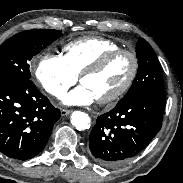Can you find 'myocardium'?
Segmentation results:
<instances>
[{
    "label": "myocardium",
    "instance_id": "f54148a6",
    "mask_svg": "<svg viewBox=\"0 0 183 183\" xmlns=\"http://www.w3.org/2000/svg\"><path fill=\"white\" fill-rule=\"evenodd\" d=\"M121 54H126L130 57V59L132 61L131 72H130L126 82L120 89H118L116 92H114L113 94H111L105 98L97 99V102L99 104L115 103L118 100H120L130 90V88L132 87V85L137 77L138 70H139V59H138L137 54L130 49L118 48L116 50L108 52L107 54H105L104 56L99 58L96 62H94L89 67H87L80 74L79 80H80V82H82L84 77L100 72L101 70L106 68L117 56H119Z\"/></svg>",
    "mask_w": 183,
    "mask_h": 183
}]
</instances>
